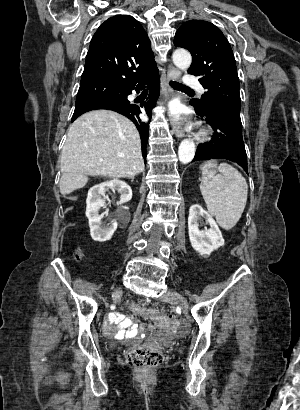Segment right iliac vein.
Listing matches in <instances>:
<instances>
[{"label":"right iliac vein","instance_id":"1","mask_svg":"<svg viewBox=\"0 0 300 410\" xmlns=\"http://www.w3.org/2000/svg\"><path fill=\"white\" fill-rule=\"evenodd\" d=\"M120 291H121V290H120L119 288L116 289L115 294H118Z\"/></svg>","mask_w":300,"mask_h":410}]
</instances>
